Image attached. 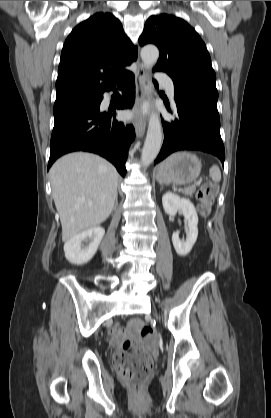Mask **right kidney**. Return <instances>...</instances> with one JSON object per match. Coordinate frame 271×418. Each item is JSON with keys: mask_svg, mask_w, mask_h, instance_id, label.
<instances>
[{"mask_svg": "<svg viewBox=\"0 0 271 418\" xmlns=\"http://www.w3.org/2000/svg\"><path fill=\"white\" fill-rule=\"evenodd\" d=\"M104 234L102 227H92L74 236L64 245L66 259L77 265L87 263L97 252ZM86 242H89L87 246Z\"/></svg>", "mask_w": 271, "mask_h": 418, "instance_id": "ca27d5eb", "label": "right kidney"}]
</instances>
